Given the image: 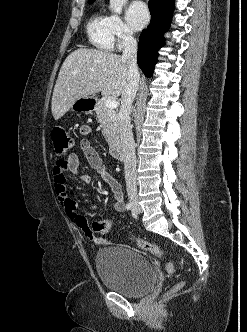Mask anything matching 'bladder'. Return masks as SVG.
Returning <instances> with one entry per match:
<instances>
[{"label":"bladder","mask_w":247,"mask_h":332,"mask_svg":"<svg viewBox=\"0 0 247 332\" xmlns=\"http://www.w3.org/2000/svg\"><path fill=\"white\" fill-rule=\"evenodd\" d=\"M95 265L102 284L127 297L143 296L156 283V271L148 257L127 245L100 249Z\"/></svg>","instance_id":"31cf9c89"}]
</instances>
